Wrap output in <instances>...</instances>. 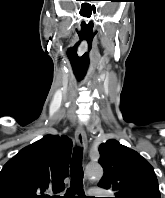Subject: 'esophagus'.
<instances>
[{"instance_id": "1", "label": "esophagus", "mask_w": 165, "mask_h": 198, "mask_svg": "<svg viewBox=\"0 0 165 198\" xmlns=\"http://www.w3.org/2000/svg\"><path fill=\"white\" fill-rule=\"evenodd\" d=\"M75 139L78 144V146L83 150V152H86L87 149V136L84 128L82 126H78L75 131Z\"/></svg>"}]
</instances>
